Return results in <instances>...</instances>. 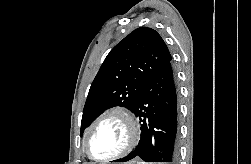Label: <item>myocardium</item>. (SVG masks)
Listing matches in <instances>:
<instances>
[{"label": "myocardium", "instance_id": "f54148a6", "mask_svg": "<svg viewBox=\"0 0 251 164\" xmlns=\"http://www.w3.org/2000/svg\"><path fill=\"white\" fill-rule=\"evenodd\" d=\"M113 116L120 118L126 124L127 130H128L127 143H126L125 147L120 152H118L112 156H109L107 158H102V159L95 158L94 156H92V154L90 152V147H89L92 133L95 130V128L104 119L109 118V117H113ZM139 137H140L139 125H138L137 120L134 117V115L127 108L122 107V106H116V107L108 109L107 111L102 113L90 125V127L87 131V134H86V138H85V144H84L85 145V152H86L88 158L93 160L94 162H98V163L110 162V161L117 160V159H120V158L128 155L137 145V143L139 141Z\"/></svg>", "mask_w": 251, "mask_h": 164}]
</instances>
